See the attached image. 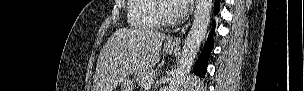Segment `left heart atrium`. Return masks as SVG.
<instances>
[{"label": "left heart atrium", "mask_w": 304, "mask_h": 91, "mask_svg": "<svg viewBox=\"0 0 304 91\" xmlns=\"http://www.w3.org/2000/svg\"><path fill=\"white\" fill-rule=\"evenodd\" d=\"M174 5H175V10L176 13L181 16L183 14H185L191 4V0H174Z\"/></svg>", "instance_id": "obj_1"}]
</instances>
